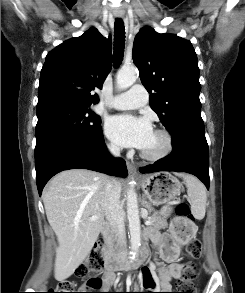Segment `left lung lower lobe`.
<instances>
[{"label": "left lung lower lobe", "mask_w": 245, "mask_h": 293, "mask_svg": "<svg viewBox=\"0 0 245 293\" xmlns=\"http://www.w3.org/2000/svg\"><path fill=\"white\" fill-rule=\"evenodd\" d=\"M172 137V153L153 165L140 168L139 171L187 172L197 176L209 189V153L205 132L183 130L176 132Z\"/></svg>", "instance_id": "left-lung-lower-lobe-1"}]
</instances>
